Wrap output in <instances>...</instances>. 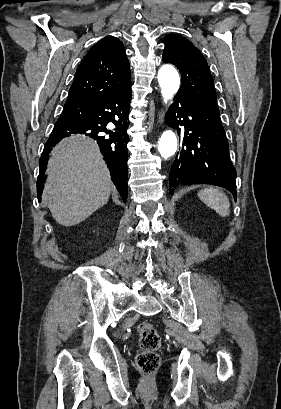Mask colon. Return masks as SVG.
Returning a JSON list of instances; mask_svg holds the SVG:
<instances>
[{"mask_svg":"<svg viewBox=\"0 0 281 409\" xmlns=\"http://www.w3.org/2000/svg\"><path fill=\"white\" fill-rule=\"evenodd\" d=\"M137 330L143 352L138 355L136 363L140 370L151 373L160 364V356L157 351L161 347V338L152 324L141 323L137 326Z\"/></svg>","mask_w":281,"mask_h":409,"instance_id":"5ec220e1","label":"colon"}]
</instances>
